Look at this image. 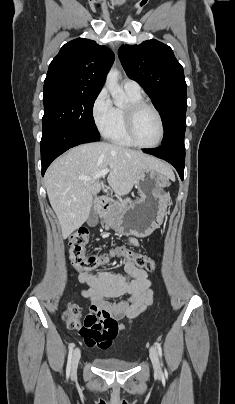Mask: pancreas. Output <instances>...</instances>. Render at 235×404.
Returning a JSON list of instances; mask_svg holds the SVG:
<instances>
[{
  "label": "pancreas",
  "mask_w": 235,
  "mask_h": 404,
  "mask_svg": "<svg viewBox=\"0 0 235 404\" xmlns=\"http://www.w3.org/2000/svg\"><path fill=\"white\" fill-rule=\"evenodd\" d=\"M125 202H126V203H130L131 200H130L129 198H127V199L125 200ZM123 207H124L123 204H122V205H120L119 203L113 204V205L111 206V209L108 210V211H106V212L104 213V218H105V220H106V221H110V220L113 218V216L117 213V211L120 210V209H122Z\"/></svg>",
  "instance_id": "pancreas-1"
}]
</instances>
